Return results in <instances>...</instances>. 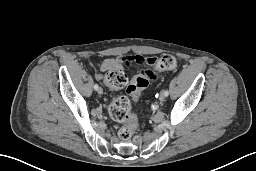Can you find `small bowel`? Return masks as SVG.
<instances>
[{
  "instance_id": "c3829d8e",
  "label": "small bowel",
  "mask_w": 256,
  "mask_h": 171,
  "mask_svg": "<svg viewBox=\"0 0 256 171\" xmlns=\"http://www.w3.org/2000/svg\"><path fill=\"white\" fill-rule=\"evenodd\" d=\"M153 60H154V57H145V56L134 55V54H129L119 58H107L102 62L100 66V70L105 73L113 69L121 70L125 66H128L132 63L152 65ZM141 75H143L146 78L155 77V74L151 70H145ZM96 77L98 79H101L102 75L96 74Z\"/></svg>"
}]
</instances>
